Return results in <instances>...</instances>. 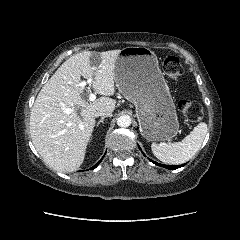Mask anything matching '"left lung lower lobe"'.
<instances>
[{"instance_id":"1","label":"left lung lower lobe","mask_w":240,"mask_h":240,"mask_svg":"<svg viewBox=\"0 0 240 240\" xmlns=\"http://www.w3.org/2000/svg\"><path fill=\"white\" fill-rule=\"evenodd\" d=\"M140 148V147H139ZM141 149V148H140ZM151 162H153L154 164H156V165H160V164H158V163H156V162H154V161H152V160H150ZM160 166H163V167H165V168H167V169H170V170H173V169H177V168H179V167H182V166H184V165H175V166H173V165H170V166H167V165H160Z\"/></svg>"}]
</instances>
